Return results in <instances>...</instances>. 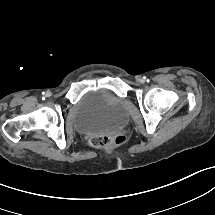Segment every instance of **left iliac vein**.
Wrapping results in <instances>:
<instances>
[{"label":"left iliac vein","instance_id":"1","mask_svg":"<svg viewBox=\"0 0 215 215\" xmlns=\"http://www.w3.org/2000/svg\"><path fill=\"white\" fill-rule=\"evenodd\" d=\"M138 81H139L140 83H143L144 80H143L142 78H139Z\"/></svg>","mask_w":215,"mask_h":215}]
</instances>
